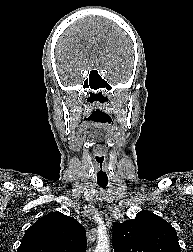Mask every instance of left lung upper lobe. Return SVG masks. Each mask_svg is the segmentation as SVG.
<instances>
[{
    "mask_svg": "<svg viewBox=\"0 0 193 252\" xmlns=\"http://www.w3.org/2000/svg\"><path fill=\"white\" fill-rule=\"evenodd\" d=\"M115 252H181L176 230L164 219L141 211L135 219L114 223Z\"/></svg>",
    "mask_w": 193,
    "mask_h": 252,
    "instance_id": "left-lung-upper-lobe-1",
    "label": "left lung upper lobe"
}]
</instances>
